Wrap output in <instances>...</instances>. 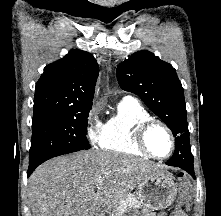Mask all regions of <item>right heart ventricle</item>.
<instances>
[{
    "label": "right heart ventricle",
    "instance_id": "e07e8e85",
    "mask_svg": "<svg viewBox=\"0 0 221 216\" xmlns=\"http://www.w3.org/2000/svg\"><path fill=\"white\" fill-rule=\"evenodd\" d=\"M151 118L150 112L137 100L124 98L115 113L102 125L98 141L100 148L108 152L145 157L146 154L135 144V130Z\"/></svg>",
    "mask_w": 221,
    "mask_h": 216
}]
</instances>
